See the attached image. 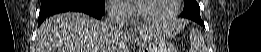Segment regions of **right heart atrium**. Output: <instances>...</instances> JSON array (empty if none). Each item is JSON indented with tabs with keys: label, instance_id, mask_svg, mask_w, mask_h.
Wrapping results in <instances>:
<instances>
[{
	"label": "right heart atrium",
	"instance_id": "1",
	"mask_svg": "<svg viewBox=\"0 0 261 52\" xmlns=\"http://www.w3.org/2000/svg\"><path fill=\"white\" fill-rule=\"evenodd\" d=\"M106 5L110 16L114 18H128L130 16V11L122 0L108 1Z\"/></svg>",
	"mask_w": 261,
	"mask_h": 52
}]
</instances>
